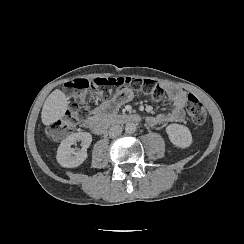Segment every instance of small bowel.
I'll use <instances>...</instances> for the list:
<instances>
[{"instance_id":"obj_1","label":"small bowel","mask_w":244,"mask_h":244,"mask_svg":"<svg viewBox=\"0 0 244 244\" xmlns=\"http://www.w3.org/2000/svg\"><path fill=\"white\" fill-rule=\"evenodd\" d=\"M163 88L173 107L169 111L149 116L147 122L151 126H157L163 123H180L185 118L184 109L188 102L187 92L173 84H164ZM133 97V88L124 87L120 89L111 99L104 101L94 108L90 116L81 123V126L92 130L108 112L119 109L122 105L131 101Z\"/></svg>"}]
</instances>
